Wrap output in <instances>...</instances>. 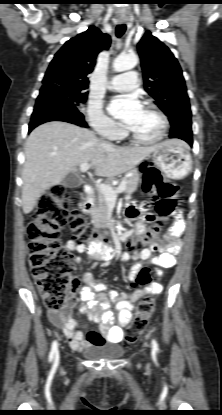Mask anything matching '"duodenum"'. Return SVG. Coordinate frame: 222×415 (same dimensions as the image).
<instances>
[{
    "mask_svg": "<svg viewBox=\"0 0 222 415\" xmlns=\"http://www.w3.org/2000/svg\"><path fill=\"white\" fill-rule=\"evenodd\" d=\"M84 193H85V198L81 202V209L84 212H90L92 210L93 197H94L93 188L90 185H86L84 187ZM109 228L111 232L116 236H120L124 234V231L122 230L121 226L115 222L110 223ZM89 250L93 254H98L104 251H110L109 247L104 246L102 243H98L94 245L93 247L89 248ZM111 256H112V252H109L106 258H110Z\"/></svg>",
    "mask_w": 222,
    "mask_h": 415,
    "instance_id": "1",
    "label": "duodenum"
}]
</instances>
